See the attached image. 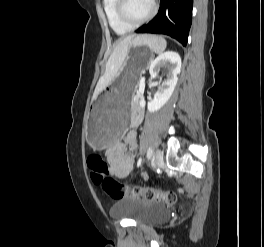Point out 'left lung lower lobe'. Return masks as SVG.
I'll use <instances>...</instances> for the list:
<instances>
[{
    "label": "left lung lower lobe",
    "instance_id": "obj_1",
    "mask_svg": "<svg viewBox=\"0 0 264 247\" xmlns=\"http://www.w3.org/2000/svg\"><path fill=\"white\" fill-rule=\"evenodd\" d=\"M193 0H160L157 15L136 33L165 34L187 45L192 23Z\"/></svg>",
    "mask_w": 264,
    "mask_h": 247
}]
</instances>
